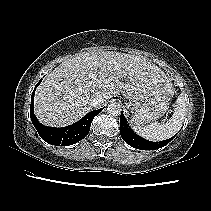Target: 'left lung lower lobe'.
Here are the masks:
<instances>
[{
  "mask_svg": "<svg viewBox=\"0 0 211 211\" xmlns=\"http://www.w3.org/2000/svg\"><path fill=\"white\" fill-rule=\"evenodd\" d=\"M120 134L122 139L130 146L141 149V150H155L159 149L165 145H167L174 137L160 142H151L147 141L135 133L132 132V130L129 128L125 121V117L123 113H121L120 116Z\"/></svg>",
  "mask_w": 211,
  "mask_h": 211,
  "instance_id": "0a47b994",
  "label": "left lung lower lobe"
}]
</instances>
